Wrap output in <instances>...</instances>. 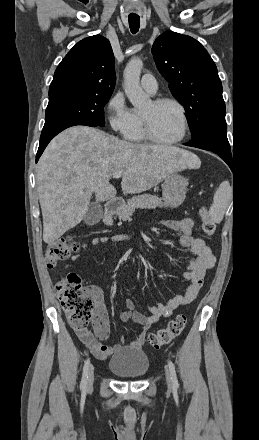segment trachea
<instances>
[{
  "instance_id": "obj_1",
  "label": "trachea",
  "mask_w": 259,
  "mask_h": 440,
  "mask_svg": "<svg viewBox=\"0 0 259 440\" xmlns=\"http://www.w3.org/2000/svg\"><path fill=\"white\" fill-rule=\"evenodd\" d=\"M139 25H140V18L139 17L129 18V27H130V31L133 34H136L138 32Z\"/></svg>"
}]
</instances>
